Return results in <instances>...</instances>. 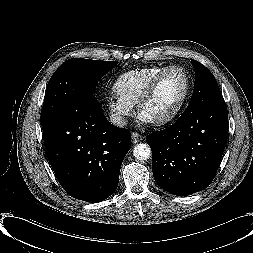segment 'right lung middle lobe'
I'll return each instance as SVG.
<instances>
[{
	"label": "right lung middle lobe",
	"instance_id": "dd1d6c3e",
	"mask_svg": "<svg viewBox=\"0 0 253 253\" xmlns=\"http://www.w3.org/2000/svg\"><path fill=\"white\" fill-rule=\"evenodd\" d=\"M118 61L74 58L64 62L47 85L41 114L42 127L49 124L67 106L92 95L98 81L112 70Z\"/></svg>",
	"mask_w": 253,
	"mask_h": 253
}]
</instances>
